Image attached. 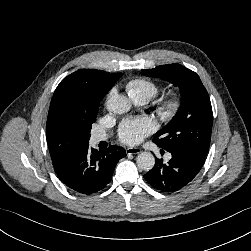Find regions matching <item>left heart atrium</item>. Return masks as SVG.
I'll return each mask as SVG.
<instances>
[{
    "label": "left heart atrium",
    "mask_w": 251,
    "mask_h": 251,
    "mask_svg": "<svg viewBox=\"0 0 251 251\" xmlns=\"http://www.w3.org/2000/svg\"><path fill=\"white\" fill-rule=\"evenodd\" d=\"M154 130L148 118H136L122 123L119 130V139L127 145H136Z\"/></svg>",
    "instance_id": "39dd6f15"
}]
</instances>
